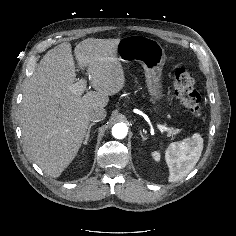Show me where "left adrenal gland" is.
<instances>
[{
	"label": "left adrenal gland",
	"instance_id": "1",
	"mask_svg": "<svg viewBox=\"0 0 236 236\" xmlns=\"http://www.w3.org/2000/svg\"><path fill=\"white\" fill-rule=\"evenodd\" d=\"M140 135H141V137H142L143 140H146V139H147V137L143 135V133H142L141 130H140Z\"/></svg>",
	"mask_w": 236,
	"mask_h": 236
}]
</instances>
